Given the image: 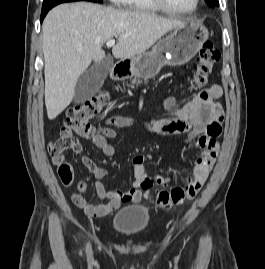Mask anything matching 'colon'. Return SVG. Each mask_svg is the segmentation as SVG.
I'll list each match as a JSON object with an SVG mask.
<instances>
[{"label": "colon", "mask_w": 265, "mask_h": 269, "mask_svg": "<svg viewBox=\"0 0 265 269\" xmlns=\"http://www.w3.org/2000/svg\"><path fill=\"white\" fill-rule=\"evenodd\" d=\"M219 59L220 53L215 49L212 42L208 41L202 44L197 55L196 70L191 81L193 88L199 89L208 83L213 68ZM107 103L108 95L102 92L85 103L69 109L59 127V138L50 143L49 149L58 167V176L63 184L70 185L73 182L74 168L64 160L62 152L73 147L76 136L86 137L95 134L91 121L102 113ZM220 133V123L213 122L209 127L208 134L219 137ZM198 191L193 183H188L187 187L176 186L170 191L155 192L151 195V198L159 206L172 207L192 198Z\"/></svg>", "instance_id": "1"}]
</instances>
